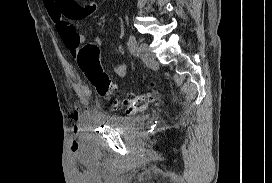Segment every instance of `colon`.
Returning a JSON list of instances; mask_svg holds the SVG:
<instances>
[{
	"mask_svg": "<svg viewBox=\"0 0 272 183\" xmlns=\"http://www.w3.org/2000/svg\"><path fill=\"white\" fill-rule=\"evenodd\" d=\"M101 45L97 41L85 44L79 51L77 60L81 71L96 89L98 95L105 100L113 101V86L107 74L100 66L99 56ZM151 100L150 94L130 97L122 102L128 113L142 111Z\"/></svg>",
	"mask_w": 272,
	"mask_h": 183,
	"instance_id": "colon-1",
	"label": "colon"
}]
</instances>
